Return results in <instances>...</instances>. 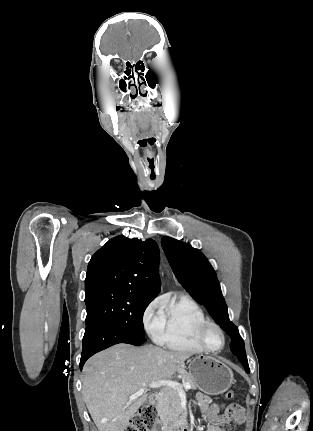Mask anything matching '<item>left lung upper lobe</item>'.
<instances>
[{
	"instance_id": "obj_1",
	"label": "left lung upper lobe",
	"mask_w": 313,
	"mask_h": 431,
	"mask_svg": "<svg viewBox=\"0 0 313 431\" xmlns=\"http://www.w3.org/2000/svg\"><path fill=\"white\" fill-rule=\"evenodd\" d=\"M165 255L178 281L198 303L204 305L212 318L231 337L230 348L249 371L244 341L238 328L229 320L227 306L212 266L198 249L168 236L161 239Z\"/></svg>"
}]
</instances>
